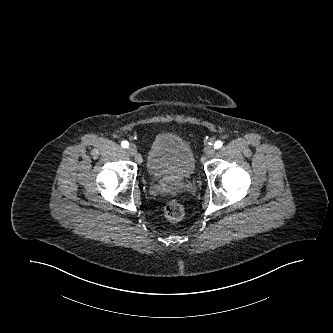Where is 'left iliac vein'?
<instances>
[{"label":"left iliac vein","mask_w":333,"mask_h":333,"mask_svg":"<svg viewBox=\"0 0 333 333\" xmlns=\"http://www.w3.org/2000/svg\"><path fill=\"white\" fill-rule=\"evenodd\" d=\"M204 153L207 157H213L215 154V148L213 146H207Z\"/></svg>","instance_id":"obj_1"}]
</instances>
